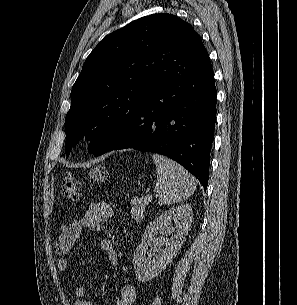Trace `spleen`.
<instances>
[{
	"mask_svg": "<svg viewBox=\"0 0 297 305\" xmlns=\"http://www.w3.org/2000/svg\"><path fill=\"white\" fill-rule=\"evenodd\" d=\"M157 181L155 192L160 205H171L190 197L196 189L195 179L182 166L159 154H153Z\"/></svg>",
	"mask_w": 297,
	"mask_h": 305,
	"instance_id": "1",
	"label": "spleen"
}]
</instances>
